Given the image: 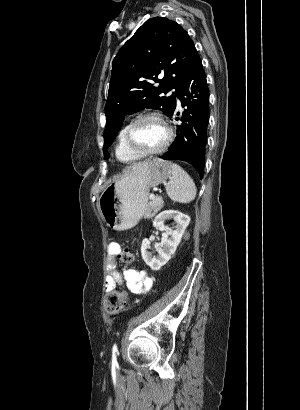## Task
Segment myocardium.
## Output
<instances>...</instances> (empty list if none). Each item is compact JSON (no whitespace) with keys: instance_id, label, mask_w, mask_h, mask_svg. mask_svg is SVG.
Segmentation results:
<instances>
[{"instance_id":"1","label":"myocardium","mask_w":300,"mask_h":410,"mask_svg":"<svg viewBox=\"0 0 300 410\" xmlns=\"http://www.w3.org/2000/svg\"><path fill=\"white\" fill-rule=\"evenodd\" d=\"M147 119H156L160 121L167 133L164 143L155 150H142L137 146V144L133 140L134 129L137 127L138 124ZM124 138L126 146L136 155L140 157L154 156L164 152L168 148L173 139V130L168 121L166 120V118L162 114L156 112H147L136 117L128 125V127L125 130Z\"/></svg>"}]
</instances>
